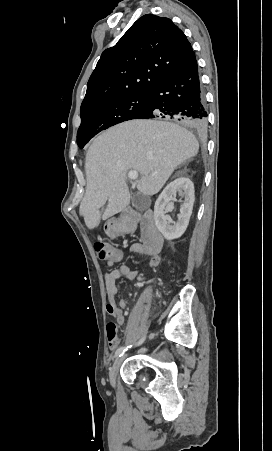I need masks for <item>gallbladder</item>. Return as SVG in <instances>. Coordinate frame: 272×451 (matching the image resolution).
Here are the masks:
<instances>
[{"mask_svg":"<svg viewBox=\"0 0 272 451\" xmlns=\"http://www.w3.org/2000/svg\"><path fill=\"white\" fill-rule=\"evenodd\" d=\"M139 196H141V194H136L135 198H132V206H134L136 210H139V212H143L148 206L147 204H144V202H141V200H138Z\"/></svg>","mask_w":272,"mask_h":451,"instance_id":"1","label":"gallbladder"}]
</instances>
